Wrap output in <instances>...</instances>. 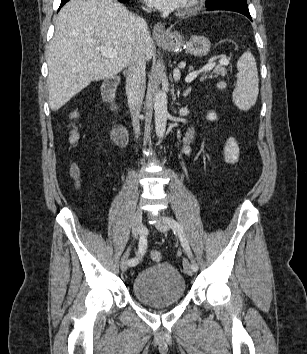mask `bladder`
<instances>
[{
	"label": "bladder",
	"instance_id": "obj_1",
	"mask_svg": "<svg viewBox=\"0 0 307 354\" xmlns=\"http://www.w3.org/2000/svg\"><path fill=\"white\" fill-rule=\"evenodd\" d=\"M132 290L140 302L159 308L181 301L186 293V283L176 267L163 262L139 271L134 277Z\"/></svg>",
	"mask_w": 307,
	"mask_h": 354
}]
</instances>
